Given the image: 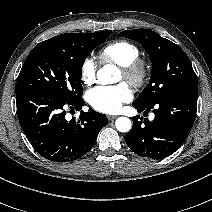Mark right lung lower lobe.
I'll use <instances>...</instances> for the list:
<instances>
[{
	"instance_id": "1",
	"label": "right lung lower lobe",
	"mask_w": 212,
	"mask_h": 212,
	"mask_svg": "<svg viewBox=\"0 0 212 212\" xmlns=\"http://www.w3.org/2000/svg\"><path fill=\"white\" fill-rule=\"evenodd\" d=\"M18 119L34 149L54 162H69L93 147L99 131L108 123L93 109L81 111L79 119H65V109L81 110L84 101L65 100L43 91L16 94Z\"/></svg>"
}]
</instances>
